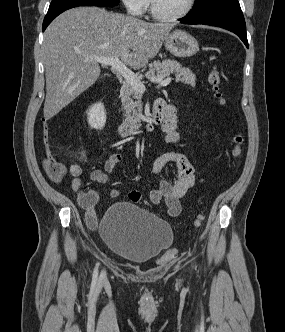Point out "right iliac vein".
Here are the masks:
<instances>
[{
  "mask_svg": "<svg viewBox=\"0 0 285 332\" xmlns=\"http://www.w3.org/2000/svg\"><path fill=\"white\" fill-rule=\"evenodd\" d=\"M107 280V274L105 271H102L101 275H100V278H99V281L100 282H105Z\"/></svg>",
  "mask_w": 285,
  "mask_h": 332,
  "instance_id": "obj_1",
  "label": "right iliac vein"
}]
</instances>
